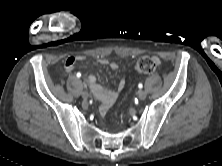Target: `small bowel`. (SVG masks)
<instances>
[{
	"mask_svg": "<svg viewBox=\"0 0 222 166\" xmlns=\"http://www.w3.org/2000/svg\"><path fill=\"white\" fill-rule=\"evenodd\" d=\"M85 58L83 56H71L68 57L65 61L64 67L66 71H71L76 62L82 61ZM99 63L102 65H108L112 70L118 68L117 63L109 62L105 58H100ZM87 85L91 88L94 96L101 102L100 113L105 114L108 109L113 105L117 99L118 93L125 87V79H120L116 89H105L103 86L97 83L96 76L93 74H88L85 77Z\"/></svg>",
	"mask_w": 222,
	"mask_h": 166,
	"instance_id": "c3829d8e",
	"label": "small bowel"
}]
</instances>
